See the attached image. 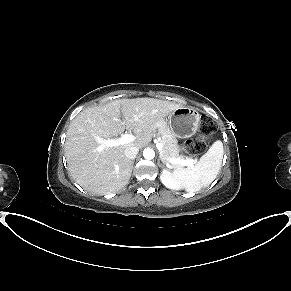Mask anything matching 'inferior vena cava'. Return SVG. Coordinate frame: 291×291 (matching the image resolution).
I'll return each mask as SVG.
<instances>
[{"instance_id":"obj_1","label":"inferior vena cava","mask_w":291,"mask_h":291,"mask_svg":"<svg viewBox=\"0 0 291 291\" xmlns=\"http://www.w3.org/2000/svg\"><path fill=\"white\" fill-rule=\"evenodd\" d=\"M138 152L139 148L137 146H129L125 149L124 154L129 160H133L136 158Z\"/></svg>"}]
</instances>
